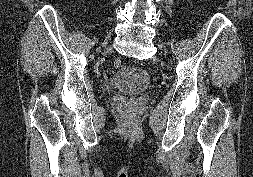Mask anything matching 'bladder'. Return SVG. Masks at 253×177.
<instances>
[{
	"instance_id": "obj_1",
	"label": "bladder",
	"mask_w": 253,
	"mask_h": 177,
	"mask_svg": "<svg viewBox=\"0 0 253 177\" xmlns=\"http://www.w3.org/2000/svg\"><path fill=\"white\" fill-rule=\"evenodd\" d=\"M150 85L148 73L136 66H125L117 70L104 83V88L111 89H144Z\"/></svg>"
}]
</instances>
